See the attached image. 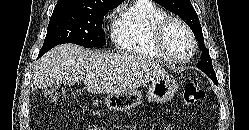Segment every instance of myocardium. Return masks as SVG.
<instances>
[{
	"label": "myocardium",
	"instance_id": "1",
	"mask_svg": "<svg viewBox=\"0 0 249 130\" xmlns=\"http://www.w3.org/2000/svg\"><path fill=\"white\" fill-rule=\"evenodd\" d=\"M174 24H177L181 26L184 31L187 33L190 42H191V51L188 56L184 58H177L173 56L172 54L169 53L167 46H166V35L170 27ZM154 41H155V46L158 50V52L161 54V56L172 63H177V64H183L188 61H190L196 51H197V40L196 37L190 28V26L182 19L177 18V17H170L168 16L164 20H162L156 27L155 32H154Z\"/></svg>",
	"mask_w": 249,
	"mask_h": 130
}]
</instances>
